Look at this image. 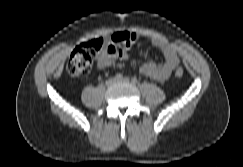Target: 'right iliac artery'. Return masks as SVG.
Wrapping results in <instances>:
<instances>
[{
    "label": "right iliac artery",
    "instance_id": "obj_1",
    "mask_svg": "<svg viewBox=\"0 0 243 167\" xmlns=\"http://www.w3.org/2000/svg\"><path fill=\"white\" fill-rule=\"evenodd\" d=\"M123 78L121 73L116 74L115 79L116 80H121Z\"/></svg>",
    "mask_w": 243,
    "mask_h": 167
}]
</instances>
